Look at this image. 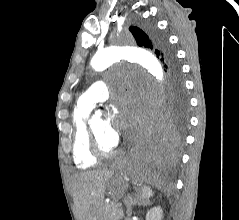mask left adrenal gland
Segmentation results:
<instances>
[{"label":"left adrenal gland","instance_id":"a2214340","mask_svg":"<svg viewBox=\"0 0 239 220\" xmlns=\"http://www.w3.org/2000/svg\"><path fill=\"white\" fill-rule=\"evenodd\" d=\"M124 203L126 205V214L128 217L132 215V209L136 205H147L149 204L148 200H142L141 197H132V196H127L124 199Z\"/></svg>","mask_w":239,"mask_h":220}]
</instances>
